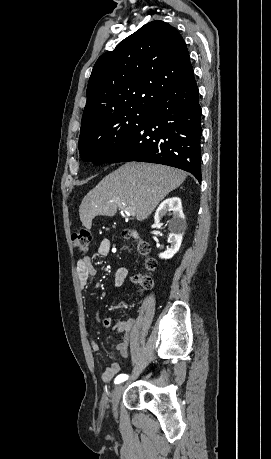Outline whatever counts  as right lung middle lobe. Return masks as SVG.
I'll use <instances>...</instances> for the list:
<instances>
[{
    "mask_svg": "<svg viewBox=\"0 0 271 459\" xmlns=\"http://www.w3.org/2000/svg\"><path fill=\"white\" fill-rule=\"evenodd\" d=\"M150 105L125 112L95 117L81 124L79 152L81 159L96 165L107 163L149 116Z\"/></svg>",
    "mask_w": 271,
    "mask_h": 459,
    "instance_id": "1",
    "label": "right lung middle lobe"
}]
</instances>
